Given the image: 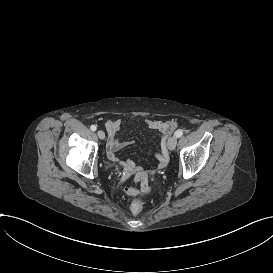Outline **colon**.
I'll list each match as a JSON object with an SVG mask.
<instances>
[{"label":"colon","instance_id":"1","mask_svg":"<svg viewBox=\"0 0 273 273\" xmlns=\"http://www.w3.org/2000/svg\"><path fill=\"white\" fill-rule=\"evenodd\" d=\"M146 201L143 198L137 199L129 205L128 210L132 214H138L141 207L145 206Z\"/></svg>","mask_w":273,"mask_h":273}]
</instances>
